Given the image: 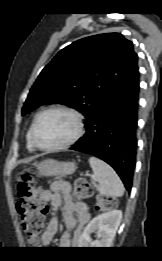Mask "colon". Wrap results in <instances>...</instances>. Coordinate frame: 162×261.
Listing matches in <instances>:
<instances>
[{
    "instance_id": "colon-1",
    "label": "colon",
    "mask_w": 162,
    "mask_h": 261,
    "mask_svg": "<svg viewBox=\"0 0 162 261\" xmlns=\"http://www.w3.org/2000/svg\"><path fill=\"white\" fill-rule=\"evenodd\" d=\"M17 211L21 219L22 229L31 242L38 241L46 213L45 207L38 200V186L29 175L23 176L18 186ZM74 197L78 202L94 197V188L84 178H79L74 183ZM116 205V201L107 196L96 197V209L108 210Z\"/></svg>"
}]
</instances>
